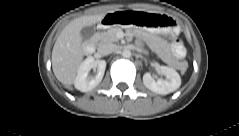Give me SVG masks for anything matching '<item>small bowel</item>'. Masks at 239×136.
<instances>
[{"label": "small bowel", "mask_w": 239, "mask_h": 136, "mask_svg": "<svg viewBox=\"0 0 239 136\" xmlns=\"http://www.w3.org/2000/svg\"><path fill=\"white\" fill-rule=\"evenodd\" d=\"M177 46H181V44L180 43H175V47H177ZM177 54H182V53H179V52H176Z\"/></svg>", "instance_id": "c3829d8e"}]
</instances>
